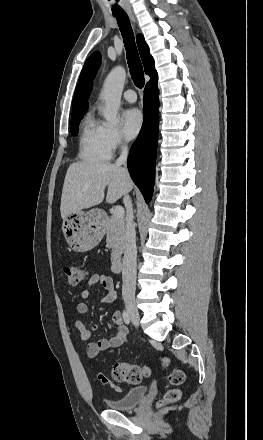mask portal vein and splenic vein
<instances>
[{
  "instance_id": "portal-vein-and-splenic-vein-1",
  "label": "portal vein and splenic vein",
  "mask_w": 263,
  "mask_h": 440,
  "mask_svg": "<svg viewBox=\"0 0 263 440\" xmlns=\"http://www.w3.org/2000/svg\"><path fill=\"white\" fill-rule=\"evenodd\" d=\"M114 216L117 218L124 217V209L121 206H116L114 209Z\"/></svg>"
}]
</instances>
